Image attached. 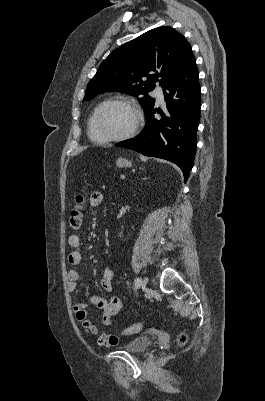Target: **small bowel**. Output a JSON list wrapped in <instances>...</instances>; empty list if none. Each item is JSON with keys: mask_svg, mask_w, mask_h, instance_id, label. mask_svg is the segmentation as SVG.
<instances>
[{"mask_svg": "<svg viewBox=\"0 0 265 401\" xmlns=\"http://www.w3.org/2000/svg\"><path fill=\"white\" fill-rule=\"evenodd\" d=\"M103 196L100 192H93L90 195V205L92 207H98L102 202ZM68 244L71 247V251L68 254V262L71 265H79L82 261L83 254L81 251V238L72 234L68 238ZM114 272L111 268L106 267L100 276L99 286L101 290L105 293H111L112 282H113ZM79 279V273L75 269L68 271V288L70 291H74L77 286V281ZM90 306H96L102 311L101 320L106 326H111L113 324V319L118 315L122 308V302L118 297H111L110 299H105L99 296H91L87 302L77 303L74 305L73 310L75 312L76 318L81 322L82 326L97 334L98 330L96 326L88 318V308ZM119 343V338L116 335H108L101 333L98 336V344L100 346L112 347Z\"/></svg>", "mask_w": 265, "mask_h": 401, "instance_id": "small-bowel-1", "label": "small bowel"}]
</instances>
